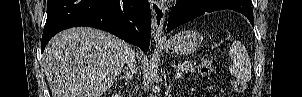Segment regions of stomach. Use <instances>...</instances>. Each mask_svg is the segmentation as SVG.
<instances>
[{"label": "stomach", "instance_id": "obj_1", "mask_svg": "<svg viewBox=\"0 0 302 97\" xmlns=\"http://www.w3.org/2000/svg\"><path fill=\"white\" fill-rule=\"evenodd\" d=\"M203 36L194 30H185L170 37L163 48L167 52L177 55H190L201 45Z\"/></svg>", "mask_w": 302, "mask_h": 97}]
</instances>
